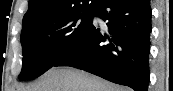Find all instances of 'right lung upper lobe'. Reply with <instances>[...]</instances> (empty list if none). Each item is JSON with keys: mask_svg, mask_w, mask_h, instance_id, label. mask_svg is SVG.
Segmentation results:
<instances>
[{"mask_svg": "<svg viewBox=\"0 0 173 91\" xmlns=\"http://www.w3.org/2000/svg\"><path fill=\"white\" fill-rule=\"evenodd\" d=\"M98 0H29V8L23 18V28L71 13L95 8Z\"/></svg>", "mask_w": 173, "mask_h": 91, "instance_id": "cb5924a9", "label": "right lung upper lobe"}]
</instances>
